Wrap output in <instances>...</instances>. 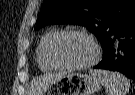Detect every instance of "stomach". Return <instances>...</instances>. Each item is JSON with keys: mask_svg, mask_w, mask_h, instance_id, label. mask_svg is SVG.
<instances>
[{"mask_svg": "<svg viewBox=\"0 0 135 95\" xmlns=\"http://www.w3.org/2000/svg\"><path fill=\"white\" fill-rule=\"evenodd\" d=\"M100 85L94 75L72 72L50 83L39 95H93Z\"/></svg>", "mask_w": 135, "mask_h": 95, "instance_id": "obj_1", "label": "stomach"}]
</instances>
